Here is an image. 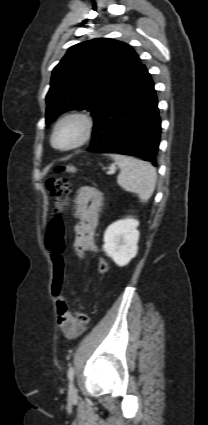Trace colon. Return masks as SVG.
Returning <instances> with one entry per match:
<instances>
[{
  "mask_svg": "<svg viewBox=\"0 0 208 425\" xmlns=\"http://www.w3.org/2000/svg\"><path fill=\"white\" fill-rule=\"evenodd\" d=\"M55 171L67 177H74L78 173L77 168L73 165H60L56 167ZM46 186L56 203L55 214L49 224L45 240L46 246L51 252L53 262L51 291L53 296L58 298L63 296L65 275L64 259L62 255L65 251L62 211L65 200L70 192V186L68 180L64 177L49 178L46 182ZM74 251L79 257H85V253L81 249L74 247ZM97 268L100 273H105L107 271V263L104 259L100 258L97 260ZM74 317L82 326H86L90 321V317L85 313L77 312Z\"/></svg>",
  "mask_w": 208,
  "mask_h": 425,
  "instance_id": "5ec220e1",
  "label": "colon"
}]
</instances>
